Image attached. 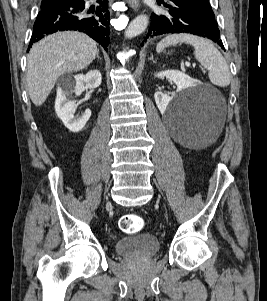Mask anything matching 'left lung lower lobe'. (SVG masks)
Instances as JSON below:
<instances>
[{
    "instance_id": "0a47b994",
    "label": "left lung lower lobe",
    "mask_w": 267,
    "mask_h": 301,
    "mask_svg": "<svg viewBox=\"0 0 267 301\" xmlns=\"http://www.w3.org/2000/svg\"><path fill=\"white\" fill-rule=\"evenodd\" d=\"M164 6L167 12L152 14L151 26L145 39L169 33H189L207 37L224 48L215 17L185 0H168Z\"/></svg>"
}]
</instances>
